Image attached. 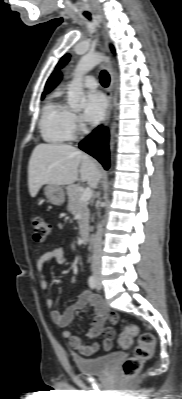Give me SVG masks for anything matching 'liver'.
Returning a JSON list of instances; mask_svg holds the SVG:
<instances>
[{"instance_id": "obj_1", "label": "liver", "mask_w": 182, "mask_h": 399, "mask_svg": "<svg viewBox=\"0 0 182 399\" xmlns=\"http://www.w3.org/2000/svg\"><path fill=\"white\" fill-rule=\"evenodd\" d=\"M80 176L91 188H96L102 173L95 161L76 147L66 144H38L28 165V185L35 197L45 184L68 185Z\"/></svg>"}]
</instances>
